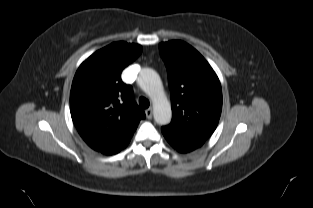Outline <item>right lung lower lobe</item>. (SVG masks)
Instances as JSON below:
<instances>
[{
  "label": "right lung lower lobe",
  "instance_id": "1",
  "mask_svg": "<svg viewBox=\"0 0 313 208\" xmlns=\"http://www.w3.org/2000/svg\"><path fill=\"white\" fill-rule=\"evenodd\" d=\"M131 139V138H130ZM130 139L123 141L116 140H101V139H86L85 142L94 150L99 151L106 155L118 153L121 149L125 148Z\"/></svg>",
  "mask_w": 313,
  "mask_h": 208
}]
</instances>
